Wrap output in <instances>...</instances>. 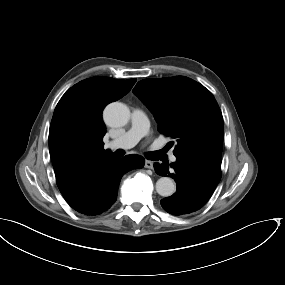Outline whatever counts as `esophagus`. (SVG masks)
<instances>
[{
	"mask_svg": "<svg viewBox=\"0 0 285 285\" xmlns=\"http://www.w3.org/2000/svg\"><path fill=\"white\" fill-rule=\"evenodd\" d=\"M145 168L147 169H153V162L150 160L145 161Z\"/></svg>",
	"mask_w": 285,
	"mask_h": 285,
	"instance_id": "34e87169",
	"label": "esophagus"
}]
</instances>
